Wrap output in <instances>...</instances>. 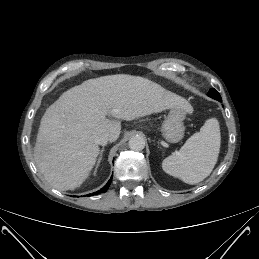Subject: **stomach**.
<instances>
[{
    "mask_svg": "<svg viewBox=\"0 0 259 259\" xmlns=\"http://www.w3.org/2000/svg\"><path fill=\"white\" fill-rule=\"evenodd\" d=\"M185 112L182 109L172 108L161 126L163 138L169 143H177L184 137L185 126L183 120Z\"/></svg>",
    "mask_w": 259,
    "mask_h": 259,
    "instance_id": "1",
    "label": "stomach"
}]
</instances>
